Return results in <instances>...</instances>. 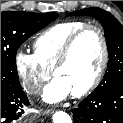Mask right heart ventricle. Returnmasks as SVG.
Here are the masks:
<instances>
[{"label":"right heart ventricle","mask_w":123,"mask_h":123,"mask_svg":"<svg viewBox=\"0 0 123 123\" xmlns=\"http://www.w3.org/2000/svg\"><path fill=\"white\" fill-rule=\"evenodd\" d=\"M84 25L82 21H66L43 31L33 43L34 54L41 64L52 70L67 39Z\"/></svg>","instance_id":"e07e8e85"}]
</instances>
